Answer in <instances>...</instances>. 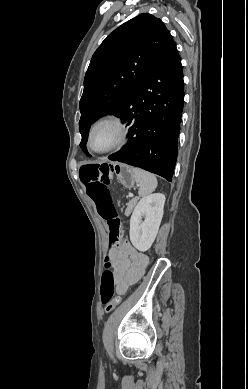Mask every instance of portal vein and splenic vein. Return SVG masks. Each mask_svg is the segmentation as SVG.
I'll return each instance as SVG.
<instances>
[{
    "mask_svg": "<svg viewBox=\"0 0 248 389\" xmlns=\"http://www.w3.org/2000/svg\"><path fill=\"white\" fill-rule=\"evenodd\" d=\"M133 196V194L132 193H129V197H132Z\"/></svg>",
    "mask_w": 248,
    "mask_h": 389,
    "instance_id": "1",
    "label": "portal vein and splenic vein"
}]
</instances>
